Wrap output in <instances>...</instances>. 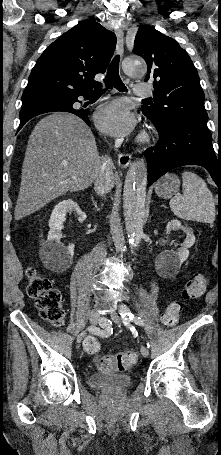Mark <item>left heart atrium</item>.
<instances>
[{"label": "left heart atrium", "mask_w": 221, "mask_h": 455, "mask_svg": "<svg viewBox=\"0 0 221 455\" xmlns=\"http://www.w3.org/2000/svg\"><path fill=\"white\" fill-rule=\"evenodd\" d=\"M95 121L103 132L112 136L127 135L135 126L134 116L120 101L102 106L95 115Z\"/></svg>", "instance_id": "39dd6f15"}]
</instances>
